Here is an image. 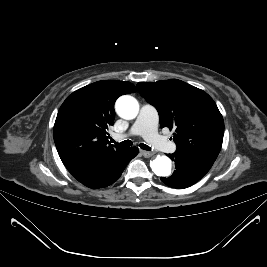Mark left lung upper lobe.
I'll use <instances>...</instances> for the list:
<instances>
[{"mask_svg": "<svg viewBox=\"0 0 267 267\" xmlns=\"http://www.w3.org/2000/svg\"><path fill=\"white\" fill-rule=\"evenodd\" d=\"M137 89L157 109L160 126L174 130L177 150L215 161L222 146L224 121L207 93L177 79L141 82Z\"/></svg>", "mask_w": 267, "mask_h": 267, "instance_id": "left-lung-upper-lobe-1", "label": "left lung upper lobe"}]
</instances>
